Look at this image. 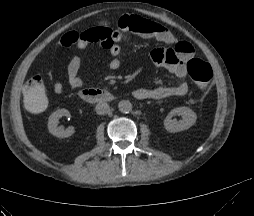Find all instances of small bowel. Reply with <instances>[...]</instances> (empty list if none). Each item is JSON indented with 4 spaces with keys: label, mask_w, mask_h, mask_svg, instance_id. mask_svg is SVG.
Masks as SVG:
<instances>
[{
    "label": "small bowel",
    "mask_w": 254,
    "mask_h": 216,
    "mask_svg": "<svg viewBox=\"0 0 254 216\" xmlns=\"http://www.w3.org/2000/svg\"><path fill=\"white\" fill-rule=\"evenodd\" d=\"M109 30V29H107ZM111 35V43L107 48L109 61L108 66L111 70H117L121 66L119 58L120 46L124 33H133L144 38L156 39L165 44L171 45L172 48L157 49L151 52L150 59L156 66L166 67L167 70L179 79L175 86H156V87H140L133 91V96L138 100L144 99H164L175 96H184L188 92V84L184 80L186 76V62L192 58L194 54L193 45L185 40H177L173 33L163 25L137 16H127L119 21V27L115 30H109ZM61 47H69L76 45L84 49L89 45L81 36L79 31H71L66 33L59 42ZM82 58L74 56L67 66V80L71 88H79L82 86L84 79L80 69ZM48 77L52 81L53 92L60 95L64 91V85L60 80H54V71L48 72ZM42 112V111H41Z\"/></svg>",
    "instance_id": "obj_1"
}]
</instances>
